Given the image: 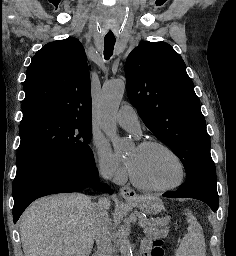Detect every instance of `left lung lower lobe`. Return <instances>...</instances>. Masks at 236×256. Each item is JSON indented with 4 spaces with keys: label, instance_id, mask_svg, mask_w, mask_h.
<instances>
[{
    "label": "left lung lower lobe",
    "instance_id": "0a47b994",
    "mask_svg": "<svg viewBox=\"0 0 236 256\" xmlns=\"http://www.w3.org/2000/svg\"><path fill=\"white\" fill-rule=\"evenodd\" d=\"M164 197L170 198H194L209 205L216 212L219 205L216 182L206 179H192L182 184L175 192H167Z\"/></svg>",
    "mask_w": 236,
    "mask_h": 256
}]
</instances>
